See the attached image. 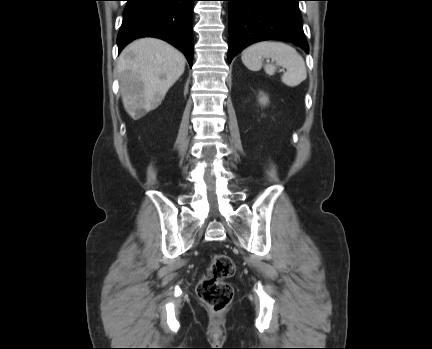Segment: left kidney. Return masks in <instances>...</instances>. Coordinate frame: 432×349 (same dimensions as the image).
Wrapping results in <instances>:
<instances>
[{
	"mask_svg": "<svg viewBox=\"0 0 432 349\" xmlns=\"http://www.w3.org/2000/svg\"><path fill=\"white\" fill-rule=\"evenodd\" d=\"M261 102H262L263 104H265V103L267 102V98H266L265 96H263V97L261 98Z\"/></svg>",
	"mask_w": 432,
	"mask_h": 349,
	"instance_id": "obj_1",
	"label": "left kidney"
}]
</instances>
